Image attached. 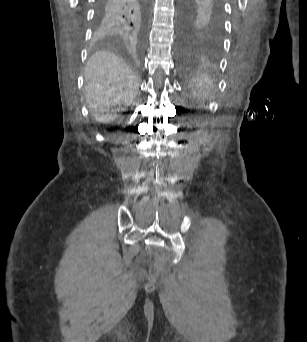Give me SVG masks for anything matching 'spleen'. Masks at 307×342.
Masks as SVG:
<instances>
[{"label": "spleen", "instance_id": "spleen-1", "mask_svg": "<svg viewBox=\"0 0 307 342\" xmlns=\"http://www.w3.org/2000/svg\"><path fill=\"white\" fill-rule=\"evenodd\" d=\"M190 82L195 84L197 98H207L211 94L213 84L208 76H200V78L192 77Z\"/></svg>", "mask_w": 307, "mask_h": 342}]
</instances>
